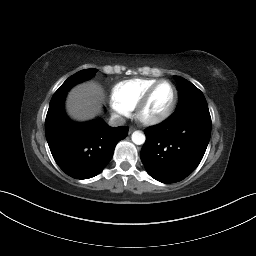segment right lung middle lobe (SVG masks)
Returning a JSON list of instances; mask_svg holds the SVG:
<instances>
[{"label": "right lung middle lobe", "instance_id": "right-lung-middle-lobe-1", "mask_svg": "<svg viewBox=\"0 0 256 256\" xmlns=\"http://www.w3.org/2000/svg\"><path fill=\"white\" fill-rule=\"evenodd\" d=\"M97 71H98L97 69H86V70H81L76 74L72 75L54 93L52 99L65 96L68 90L73 85L92 77Z\"/></svg>", "mask_w": 256, "mask_h": 256}]
</instances>
